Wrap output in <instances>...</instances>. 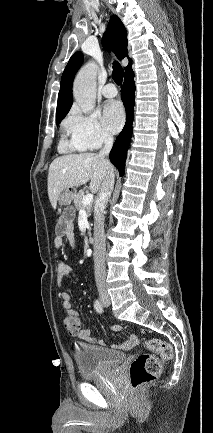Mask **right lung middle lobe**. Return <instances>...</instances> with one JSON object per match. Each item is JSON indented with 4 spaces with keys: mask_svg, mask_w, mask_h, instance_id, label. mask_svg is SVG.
I'll return each instance as SVG.
<instances>
[{
    "mask_svg": "<svg viewBox=\"0 0 213 433\" xmlns=\"http://www.w3.org/2000/svg\"><path fill=\"white\" fill-rule=\"evenodd\" d=\"M60 122H61V120H57V125H59Z\"/></svg>",
    "mask_w": 213,
    "mask_h": 433,
    "instance_id": "obj_1",
    "label": "right lung middle lobe"
}]
</instances>
